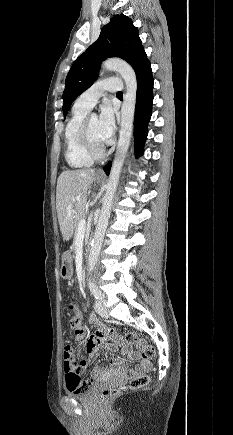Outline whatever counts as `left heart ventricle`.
<instances>
[{"mask_svg":"<svg viewBox=\"0 0 233 435\" xmlns=\"http://www.w3.org/2000/svg\"><path fill=\"white\" fill-rule=\"evenodd\" d=\"M89 135L94 147L100 149L105 147V143L100 137L99 123L97 118L89 119Z\"/></svg>","mask_w":233,"mask_h":435,"instance_id":"obj_1","label":"left heart ventricle"}]
</instances>
